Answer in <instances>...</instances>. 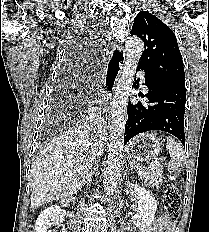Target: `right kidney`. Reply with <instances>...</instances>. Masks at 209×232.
I'll list each match as a JSON object with an SVG mask.
<instances>
[{
    "instance_id": "ca27d5eb",
    "label": "right kidney",
    "mask_w": 209,
    "mask_h": 232,
    "mask_svg": "<svg viewBox=\"0 0 209 232\" xmlns=\"http://www.w3.org/2000/svg\"><path fill=\"white\" fill-rule=\"evenodd\" d=\"M62 206H68V204H63ZM61 208L58 205H52L46 208L40 213L35 222L36 232H52L49 228L53 225L52 221L58 220L60 218ZM62 232H67L65 229Z\"/></svg>"
}]
</instances>
